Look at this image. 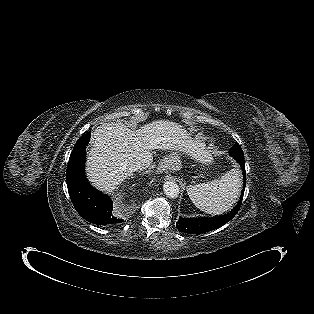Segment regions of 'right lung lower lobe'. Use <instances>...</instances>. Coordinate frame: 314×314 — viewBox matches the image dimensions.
Segmentation results:
<instances>
[{
	"label": "right lung lower lobe",
	"instance_id": "98d812e1",
	"mask_svg": "<svg viewBox=\"0 0 314 314\" xmlns=\"http://www.w3.org/2000/svg\"><path fill=\"white\" fill-rule=\"evenodd\" d=\"M90 135L88 132L81 136L70 155L66 172L68 192L74 208L86 221L96 225L118 224L124 220L119 212L113 211L110 197L93 188L85 176V149Z\"/></svg>",
	"mask_w": 314,
	"mask_h": 314
}]
</instances>
